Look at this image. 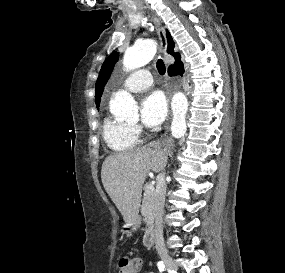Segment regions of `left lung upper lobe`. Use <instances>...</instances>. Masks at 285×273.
Returning <instances> with one entry per match:
<instances>
[{
    "instance_id": "1",
    "label": "left lung upper lobe",
    "mask_w": 285,
    "mask_h": 273,
    "mask_svg": "<svg viewBox=\"0 0 285 273\" xmlns=\"http://www.w3.org/2000/svg\"><path fill=\"white\" fill-rule=\"evenodd\" d=\"M118 53H112L108 56L106 61L104 62L103 66L101 67L99 77L96 82V88H95V97H96V105L97 108L99 107L101 94L103 92L104 86L106 85L111 72L113 70L114 64L118 61Z\"/></svg>"
}]
</instances>
